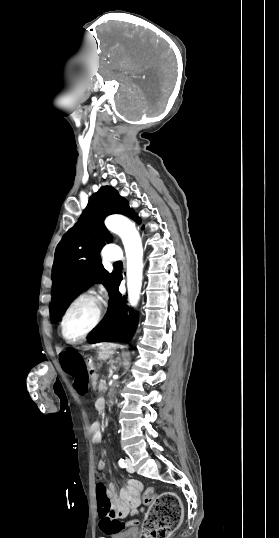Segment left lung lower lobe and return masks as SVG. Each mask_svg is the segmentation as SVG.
Here are the masks:
<instances>
[{
    "instance_id": "0a47b994",
    "label": "left lung lower lobe",
    "mask_w": 279,
    "mask_h": 538,
    "mask_svg": "<svg viewBox=\"0 0 279 538\" xmlns=\"http://www.w3.org/2000/svg\"><path fill=\"white\" fill-rule=\"evenodd\" d=\"M120 281L119 277H117L113 288V301L116 308L102 328L88 335L87 339L90 343L130 341L133 336L137 317L135 314L127 315V312L131 311V309L127 306L125 297H122L118 291Z\"/></svg>"
}]
</instances>
